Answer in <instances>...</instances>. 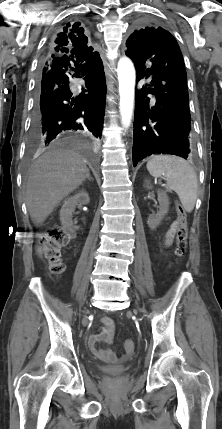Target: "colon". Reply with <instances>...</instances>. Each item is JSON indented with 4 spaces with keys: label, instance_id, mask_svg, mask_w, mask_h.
<instances>
[{
    "label": "colon",
    "instance_id": "1",
    "mask_svg": "<svg viewBox=\"0 0 222 429\" xmlns=\"http://www.w3.org/2000/svg\"><path fill=\"white\" fill-rule=\"evenodd\" d=\"M177 223L176 230V249L178 257L184 256L187 248V214L180 203L176 204ZM70 240V234L59 226L49 228L39 238L38 251L41 256L48 262L50 270L56 275H60L65 270V265L61 259V250ZM123 348L127 353H132L135 349L132 340H125Z\"/></svg>",
    "mask_w": 222,
    "mask_h": 429
}]
</instances>
